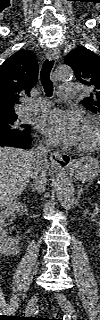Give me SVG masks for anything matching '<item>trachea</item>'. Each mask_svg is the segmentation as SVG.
Segmentation results:
<instances>
[{"label": "trachea", "mask_w": 100, "mask_h": 320, "mask_svg": "<svg viewBox=\"0 0 100 320\" xmlns=\"http://www.w3.org/2000/svg\"><path fill=\"white\" fill-rule=\"evenodd\" d=\"M53 64H54L53 60L47 59L43 63L41 73H40L41 83L47 96H52V93H53V84H52V81L50 80V73H51Z\"/></svg>", "instance_id": "3493384b"}]
</instances>
